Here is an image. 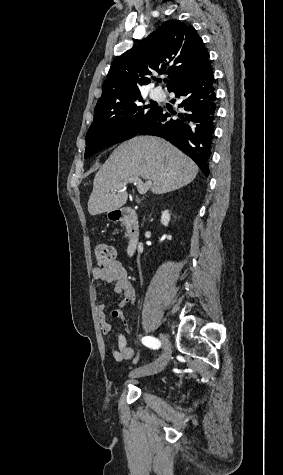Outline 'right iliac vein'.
<instances>
[{
	"label": "right iliac vein",
	"instance_id": "1",
	"mask_svg": "<svg viewBox=\"0 0 283 475\" xmlns=\"http://www.w3.org/2000/svg\"><path fill=\"white\" fill-rule=\"evenodd\" d=\"M161 342L164 347L163 354L153 362L149 367L143 369H136L131 371V377H141V376H149L156 374L163 370L169 362L170 354H171V343L167 339V336L164 333L160 334Z\"/></svg>",
	"mask_w": 283,
	"mask_h": 475
}]
</instances>
